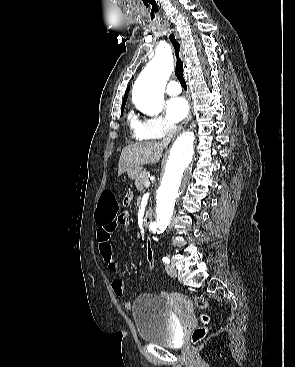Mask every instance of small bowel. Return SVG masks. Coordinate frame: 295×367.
<instances>
[{
	"label": "small bowel",
	"mask_w": 295,
	"mask_h": 367,
	"mask_svg": "<svg viewBox=\"0 0 295 367\" xmlns=\"http://www.w3.org/2000/svg\"><path fill=\"white\" fill-rule=\"evenodd\" d=\"M124 199H128V204L132 200V194L127 193ZM97 220V219H96ZM129 217L126 212H119L118 219H113L108 222H100L97 220V243L102 260L109 272L116 274L119 271L120 264L113 257V250L111 245V236L118 225L128 226ZM112 290L116 297L123 299L125 296V282L120 278H115L111 284ZM125 309H131L132 303L126 301L124 303Z\"/></svg>",
	"instance_id": "c3829d8e"
}]
</instances>
